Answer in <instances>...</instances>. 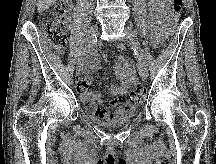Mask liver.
<instances>
[{
	"label": "liver",
	"instance_id": "liver-1",
	"mask_svg": "<svg viewBox=\"0 0 216 164\" xmlns=\"http://www.w3.org/2000/svg\"><path fill=\"white\" fill-rule=\"evenodd\" d=\"M57 0H38L37 7L38 12L42 13L43 11L47 10L49 7L53 6Z\"/></svg>",
	"mask_w": 216,
	"mask_h": 164
}]
</instances>
